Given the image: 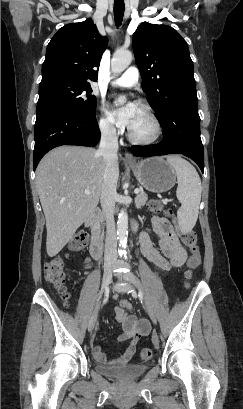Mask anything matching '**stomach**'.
Returning <instances> with one entry per match:
<instances>
[{"instance_id": "0dacf381", "label": "stomach", "mask_w": 243, "mask_h": 409, "mask_svg": "<svg viewBox=\"0 0 243 409\" xmlns=\"http://www.w3.org/2000/svg\"><path fill=\"white\" fill-rule=\"evenodd\" d=\"M129 166L139 184L150 192H166L176 182L174 168L161 157L147 158Z\"/></svg>"}]
</instances>
